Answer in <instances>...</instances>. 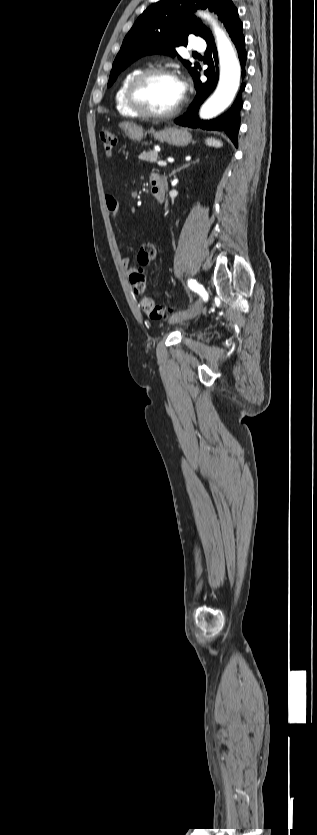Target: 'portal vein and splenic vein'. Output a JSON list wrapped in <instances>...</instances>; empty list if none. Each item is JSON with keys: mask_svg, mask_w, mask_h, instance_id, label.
Returning <instances> with one entry per match:
<instances>
[{"mask_svg": "<svg viewBox=\"0 0 317 835\" xmlns=\"http://www.w3.org/2000/svg\"><path fill=\"white\" fill-rule=\"evenodd\" d=\"M157 164H158V166H160L162 168L167 166V163L165 161H162V160L158 161Z\"/></svg>", "mask_w": 317, "mask_h": 835, "instance_id": "obj_1", "label": "portal vein and splenic vein"}]
</instances>
